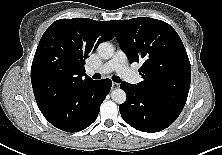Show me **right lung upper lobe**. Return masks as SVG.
<instances>
[{
  "instance_id": "right-lung-upper-lobe-1",
  "label": "right lung upper lobe",
  "mask_w": 222,
  "mask_h": 155,
  "mask_svg": "<svg viewBox=\"0 0 222 155\" xmlns=\"http://www.w3.org/2000/svg\"><path fill=\"white\" fill-rule=\"evenodd\" d=\"M113 37L111 21L88 18L55 21L43 34L33 58V90L44 85L66 90L91 81L85 73V59L100 43Z\"/></svg>"
}]
</instances>
